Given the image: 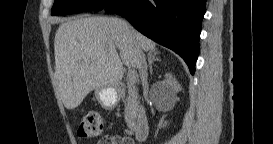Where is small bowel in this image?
<instances>
[{
    "instance_id": "1",
    "label": "small bowel",
    "mask_w": 273,
    "mask_h": 144,
    "mask_svg": "<svg viewBox=\"0 0 273 144\" xmlns=\"http://www.w3.org/2000/svg\"><path fill=\"white\" fill-rule=\"evenodd\" d=\"M99 143H102V144H130V143H132V141L127 137L116 135V136H107L103 140H101Z\"/></svg>"
}]
</instances>
